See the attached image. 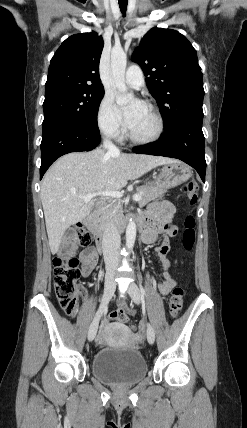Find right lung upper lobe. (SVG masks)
<instances>
[{
    "label": "right lung upper lobe",
    "instance_id": "cb5924a9",
    "mask_svg": "<svg viewBox=\"0 0 247 428\" xmlns=\"http://www.w3.org/2000/svg\"><path fill=\"white\" fill-rule=\"evenodd\" d=\"M103 46L95 32L66 39L51 60L45 92L66 87L104 89L99 76Z\"/></svg>",
    "mask_w": 247,
    "mask_h": 428
}]
</instances>
